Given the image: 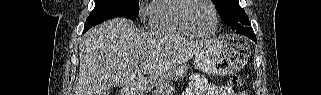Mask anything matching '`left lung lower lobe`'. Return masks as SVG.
<instances>
[{
    "mask_svg": "<svg viewBox=\"0 0 321 95\" xmlns=\"http://www.w3.org/2000/svg\"><path fill=\"white\" fill-rule=\"evenodd\" d=\"M235 32L245 35V36L249 37L250 39L254 40L255 42H257L256 36L253 32V29L250 27V25L241 26V27L235 29Z\"/></svg>",
    "mask_w": 321,
    "mask_h": 95,
    "instance_id": "left-lung-lower-lobe-1",
    "label": "left lung lower lobe"
}]
</instances>
